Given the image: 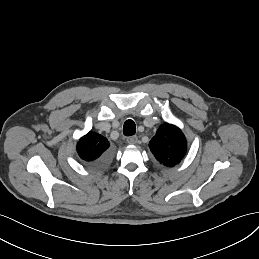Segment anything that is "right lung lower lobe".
Returning <instances> with one entry per match:
<instances>
[{
	"mask_svg": "<svg viewBox=\"0 0 259 259\" xmlns=\"http://www.w3.org/2000/svg\"><path fill=\"white\" fill-rule=\"evenodd\" d=\"M107 162H108V157L107 156H103V157H101L100 159H98L96 161L90 162V164L92 166L99 167V166L105 165Z\"/></svg>",
	"mask_w": 259,
	"mask_h": 259,
	"instance_id": "right-lung-lower-lobe-1",
	"label": "right lung lower lobe"
}]
</instances>
